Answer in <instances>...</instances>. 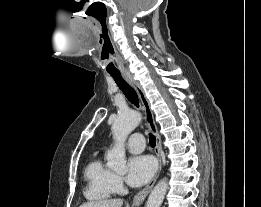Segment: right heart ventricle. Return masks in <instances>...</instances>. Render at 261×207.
I'll return each mask as SVG.
<instances>
[{
	"instance_id": "obj_1",
	"label": "right heart ventricle",
	"mask_w": 261,
	"mask_h": 207,
	"mask_svg": "<svg viewBox=\"0 0 261 207\" xmlns=\"http://www.w3.org/2000/svg\"><path fill=\"white\" fill-rule=\"evenodd\" d=\"M86 180L85 197L89 200L100 201L109 199L113 193L114 173L100 157L89 161L84 170Z\"/></svg>"
}]
</instances>
